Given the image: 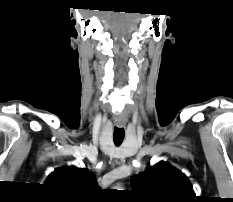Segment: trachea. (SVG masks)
Here are the masks:
<instances>
[{
  "label": "trachea",
  "instance_id": "3493384b",
  "mask_svg": "<svg viewBox=\"0 0 233 202\" xmlns=\"http://www.w3.org/2000/svg\"><path fill=\"white\" fill-rule=\"evenodd\" d=\"M124 135H125V131L123 128H117V127L114 128L113 140L117 146L122 143L124 139Z\"/></svg>",
  "mask_w": 233,
  "mask_h": 202
}]
</instances>
